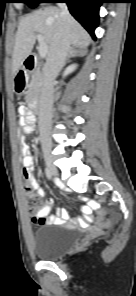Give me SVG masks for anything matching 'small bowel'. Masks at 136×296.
<instances>
[{
  "instance_id": "c3829d8e",
  "label": "small bowel",
  "mask_w": 136,
  "mask_h": 296,
  "mask_svg": "<svg viewBox=\"0 0 136 296\" xmlns=\"http://www.w3.org/2000/svg\"><path fill=\"white\" fill-rule=\"evenodd\" d=\"M18 123L22 129V140H21L20 150L22 154L24 176L26 179L31 181L33 188L38 192V194L41 196H44L45 192L39 187V184L37 183L34 177V172H33L34 160L31 154L30 147L23 140L25 135H28L33 131L34 116L32 112L22 107L21 116L19 117ZM50 209H51L50 206L46 205L44 207H41V209L39 210L37 217L44 219V223L42 225L62 224L69 219V213L67 210L61 209L57 212L56 215H51ZM82 210L84 214V217L81 220L82 223L84 224L90 223L93 220L92 206L84 205ZM96 221L100 225L107 224L105 213L103 211L96 212Z\"/></svg>"
}]
</instances>
